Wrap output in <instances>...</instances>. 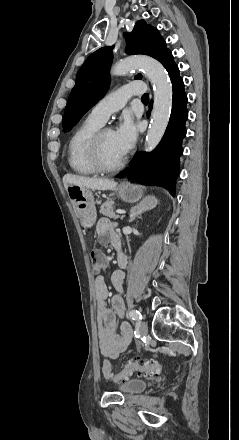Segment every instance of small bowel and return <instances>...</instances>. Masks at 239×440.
I'll list each match as a JSON object with an SVG mask.
<instances>
[{
  "mask_svg": "<svg viewBox=\"0 0 239 440\" xmlns=\"http://www.w3.org/2000/svg\"><path fill=\"white\" fill-rule=\"evenodd\" d=\"M96 232L101 244L110 243L120 251V265L124 269L126 259L121 253L120 240L113 224L108 219L101 218ZM124 281V270H117L112 274V284L117 293L111 298L110 308L106 301L109 292L104 276L99 275L95 279L99 346L102 355L111 359L118 358L127 349L132 338L131 326L127 322H117V318H122L125 312L122 298Z\"/></svg>",
  "mask_w": 239,
  "mask_h": 440,
  "instance_id": "obj_1",
  "label": "small bowel"
}]
</instances>
